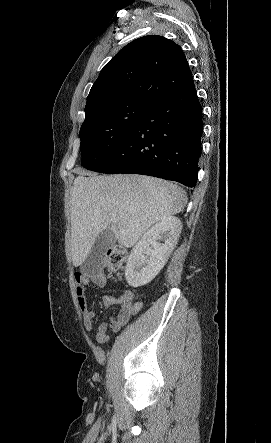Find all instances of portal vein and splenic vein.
Listing matches in <instances>:
<instances>
[{
    "label": "portal vein and splenic vein",
    "instance_id": "obj_1",
    "mask_svg": "<svg viewBox=\"0 0 271 443\" xmlns=\"http://www.w3.org/2000/svg\"><path fill=\"white\" fill-rule=\"evenodd\" d=\"M111 220L112 222H116V216H112Z\"/></svg>",
    "mask_w": 271,
    "mask_h": 443
}]
</instances>
